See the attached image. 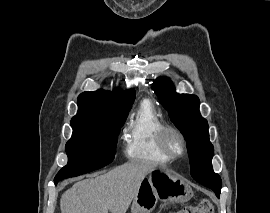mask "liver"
<instances>
[{
  "label": "liver",
  "instance_id": "liver-1",
  "mask_svg": "<svg viewBox=\"0 0 270 213\" xmlns=\"http://www.w3.org/2000/svg\"><path fill=\"white\" fill-rule=\"evenodd\" d=\"M152 163H126L108 173L76 182L60 199L61 213H126Z\"/></svg>",
  "mask_w": 270,
  "mask_h": 213
}]
</instances>
